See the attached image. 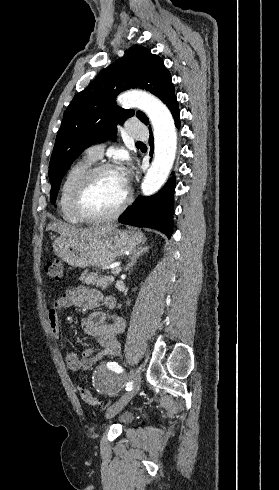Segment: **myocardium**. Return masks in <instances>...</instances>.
<instances>
[{
	"instance_id": "obj_1",
	"label": "myocardium",
	"mask_w": 279,
	"mask_h": 490,
	"mask_svg": "<svg viewBox=\"0 0 279 490\" xmlns=\"http://www.w3.org/2000/svg\"><path fill=\"white\" fill-rule=\"evenodd\" d=\"M106 171H119L120 168L116 165L110 163H102L90 167L80 179L78 184L75 198L74 206L77 214L88 222H105L111 221L119 217L129 206L132 201V193L127 189L126 197L123 202L112 212L108 214H97L92 212L88 206L89 194L92 190L93 184L96 178L103 172Z\"/></svg>"
}]
</instances>
